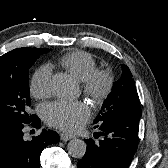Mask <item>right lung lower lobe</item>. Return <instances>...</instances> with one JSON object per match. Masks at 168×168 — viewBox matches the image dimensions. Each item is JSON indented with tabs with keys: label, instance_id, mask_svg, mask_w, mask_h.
Returning a JSON list of instances; mask_svg holds the SVG:
<instances>
[{
	"label": "right lung lower lobe",
	"instance_id": "obj_1",
	"mask_svg": "<svg viewBox=\"0 0 168 168\" xmlns=\"http://www.w3.org/2000/svg\"><path fill=\"white\" fill-rule=\"evenodd\" d=\"M31 125L39 128L40 119L36 116ZM23 128L22 123L0 126V168H39L42 150L59 141L57 133L45 129L31 141H25Z\"/></svg>",
	"mask_w": 168,
	"mask_h": 168
}]
</instances>
